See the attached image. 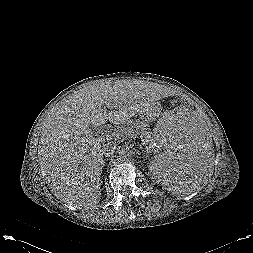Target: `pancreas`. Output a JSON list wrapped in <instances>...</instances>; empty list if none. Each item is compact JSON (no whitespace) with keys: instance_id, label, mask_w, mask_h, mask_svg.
Listing matches in <instances>:
<instances>
[{"instance_id":"cf45deb5","label":"pancreas","mask_w":253,"mask_h":253,"mask_svg":"<svg viewBox=\"0 0 253 253\" xmlns=\"http://www.w3.org/2000/svg\"><path fill=\"white\" fill-rule=\"evenodd\" d=\"M113 133L119 134L120 137H112L115 138V140H122L125 136H138L140 135L142 137L143 144H146V140H148V143H151L153 141L152 134L150 132V129L148 127V124L141 120H132L127 122L126 125L120 126L117 129L114 130Z\"/></svg>"}]
</instances>
